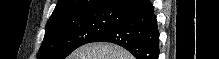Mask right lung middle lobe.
I'll return each mask as SVG.
<instances>
[{
	"instance_id": "dd1d6c3e",
	"label": "right lung middle lobe",
	"mask_w": 219,
	"mask_h": 59,
	"mask_svg": "<svg viewBox=\"0 0 219 59\" xmlns=\"http://www.w3.org/2000/svg\"><path fill=\"white\" fill-rule=\"evenodd\" d=\"M121 20L112 9L93 10L49 20L38 59H64L78 47L91 43L99 34Z\"/></svg>"
}]
</instances>
